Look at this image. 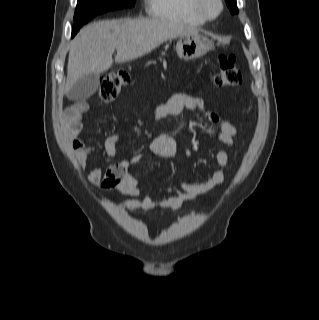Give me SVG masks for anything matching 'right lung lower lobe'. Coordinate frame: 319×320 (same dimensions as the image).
Masks as SVG:
<instances>
[{
  "mask_svg": "<svg viewBox=\"0 0 319 320\" xmlns=\"http://www.w3.org/2000/svg\"><path fill=\"white\" fill-rule=\"evenodd\" d=\"M77 32H72V37L76 34Z\"/></svg>",
  "mask_w": 319,
  "mask_h": 320,
  "instance_id": "1",
  "label": "right lung lower lobe"
}]
</instances>
